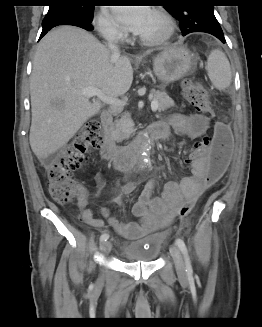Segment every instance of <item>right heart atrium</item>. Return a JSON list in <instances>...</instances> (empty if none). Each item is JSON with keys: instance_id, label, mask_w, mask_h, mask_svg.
<instances>
[{"instance_id": "d8ad5b80", "label": "right heart atrium", "mask_w": 262, "mask_h": 327, "mask_svg": "<svg viewBox=\"0 0 262 327\" xmlns=\"http://www.w3.org/2000/svg\"><path fill=\"white\" fill-rule=\"evenodd\" d=\"M93 24L104 40L121 42L125 38L123 30L118 27L105 9L100 10L94 16Z\"/></svg>"}]
</instances>
